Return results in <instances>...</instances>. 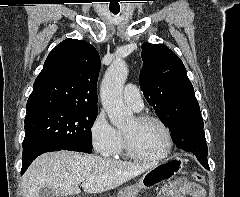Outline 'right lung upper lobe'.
Segmentation results:
<instances>
[{
  "mask_svg": "<svg viewBox=\"0 0 240 197\" xmlns=\"http://www.w3.org/2000/svg\"><path fill=\"white\" fill-rule=\"evenodd\" d=\"M100 57L84 40L66 39L48 55L30 94L27 112L48 108H97Z\"/></svg>",
  "mask_w": 240,
  "mask_h": 197,
  "instance_id": "cb5924a9",
  "label": "right lung upper lobe"
}]
</instances>
